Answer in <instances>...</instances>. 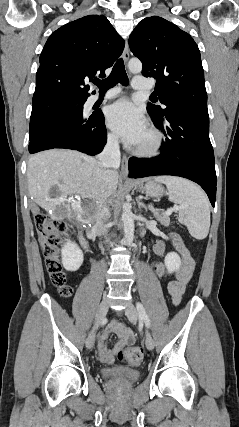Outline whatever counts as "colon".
Segmentation results:
<instances>
[{"instance_id":"1","label":"colon","mask_w":239,"mask_h":427,"mask_svg":"<svg viewBox=\"0 0 239 427\" xmlns=\"http://www.w3.org/2000/svg\"><path fill=\"white\" fill-rule=\"evenodd\" d=\"M36 228L41 240L43 254L46 258V265L52 283L58 288L62 297H69L72 294L71 287L66 283V277L59 262V242L68 226L64 222L52 220L45 214L35 216ZM153 250L158 255V262L154 264L153 273L158 281L163 282L169 273L167 268V247L164 239H159L153 243ZM143 357L141 347L122 349L118 358L131 366H137Z\"/></svg>"}]
</instances>
